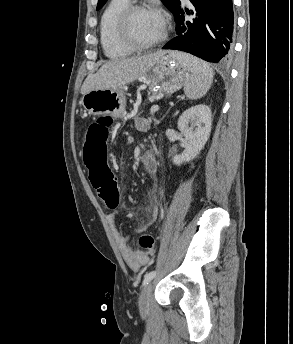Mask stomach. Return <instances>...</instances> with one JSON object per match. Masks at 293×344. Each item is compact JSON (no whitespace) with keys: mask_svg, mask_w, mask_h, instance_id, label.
I'll list each match as a JSON object with an SVG mask.
<instances>
[{"mask_svg":"<svg viewBox=\"0 0 293 344\" xmlns=\"http://www.w3.org/2000/svg\"><path fill=\"white\" fill-rule=\"evenodd\" d=\"M189 70L171 53L160 57L139 80L155 94H172L182 88ZM126 86L115 90L99 89L84 94L81 104L91 115L125 116Z\"/></svg>","mask_w":293,"mask_h":344,"instance_id":"1","label":"stomach"}]
</instances>
